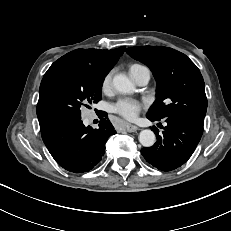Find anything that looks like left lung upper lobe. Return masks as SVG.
<instances>
[{"label": "left lung upper lobe", "mask_w": 231, "mask_h": 231, "mask_svg": "<svg viewBox=\"0 0 231 231\" xmlns=\"http://www.w3.org/2000/svg\"><path fill=\"white\" fill-rule=\"evenodd\" d=\"M126 52L147 65L157 82L156 100L147 116L181 118L203 126L207 110L204 80L185 54L164 46L132 47Z\"/></svg>", "instance_id": "1"}]
</instances>
